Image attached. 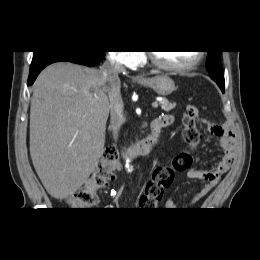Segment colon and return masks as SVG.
<instances>
[{
    "mask_svg": "<svg viewBox=\"0 0 260 260\" xmlns=\"http://www.w3.org/2000/svg\"><path fill=\"white\" fill-rule=\"evenodd\" d=\"M197 114L198 109L188 105L183 116V139L191 148H195L201 139L196 123ZM192 163L191 152L181 151L173 156L169 164L158 166L146 184L144 197L157 205L162 200L164 192L172 186L176 173L190 168ZM117 166V152L111 147L106 148L90 179L68 199V203L78 208L94 205L97 192L108 187L109 182L114 179Z\"/></svg>",
    "mask_w": 260,
    "mask_h": 260,
    "instance_id": "5ec220e1",
    "label": "colon"
}]
</instances>
